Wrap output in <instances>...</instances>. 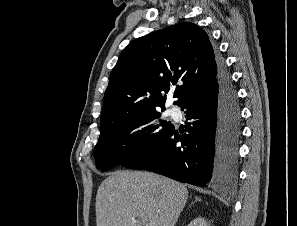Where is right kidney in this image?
I'll list each match as a JSON object with an SVG mask.
<instances>
[{"label": "right kidney", "mask_w": 297, "mask_h": 226, "mask_svg": "<svg viewBox=\"0 0 297 226\" xmlns=\"http://www.w3.org/2000/svg\"><path fill=\"white\" fill-rule=\"evenodd\" d=\"M188 226H208L204 218L198 217L190 222Z\"/></svg>", "instance_id": "1"}]
</instances>
